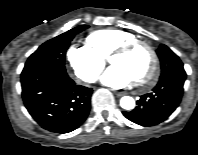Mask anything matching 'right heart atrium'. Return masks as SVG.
Segmentation results:
<instances>
[{
    "label": "right heart atrium",
    "instance_id": "right-heart-atrium-1",
    "mask_svg": "<svg viewBox=\"0 0 198 155\" xmlns=\"http://www.w3.org/2000/svg\"><path fill=\"white\" fill-rule=\"evenodd\" d=\"M73 75L87 83L94 82L104 68V58L88 45H71L66 52Z\"/></svg>",
    "mask_w": 198,
    "mask_h": 155
}]
</instances>
